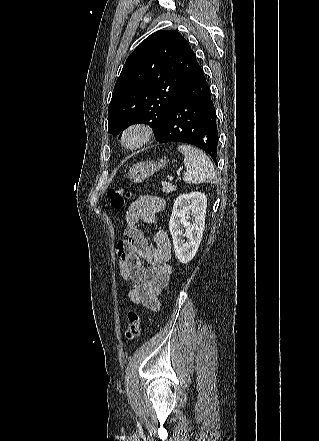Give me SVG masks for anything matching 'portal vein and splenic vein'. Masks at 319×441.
Returning a JSON list of instances; mask_svg holds the SVG:
<instances>
[{"label": "portal vein and splenic vein", "instance_id": "18ae733b", "mask_svg": "<svg viewBox=\"0 0 319 441\" xmlns=\"http://www.w3.org/2000/svg\"><path fill=\"white\" fill-rule=\"evenodd\" d=\"M180 174H181L180 171H178V172H177V175H180Z\"/></svg>", "mask_w": 319, "mask_h": 441}]
</instances>
